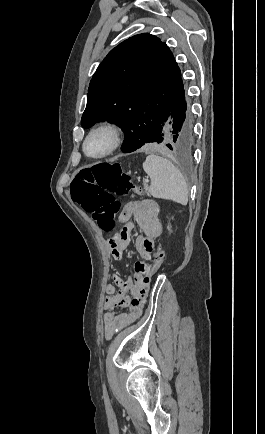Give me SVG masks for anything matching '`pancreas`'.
Returning <instances> with one entry per match:
<instances>
[{
	"label": "pancreas",
	"mask_w": 265,
	"mask_h": 434,
	"mask_svg": "<svg viewBox=\"0 0 265 434\" xmlns=\"http://www.w3.org/2000/svg\"><path fill=\"white\" fill-rule=\"evenodd\" d=\"M143 188H144V190H145L147 196H150V194H149V186H148V184H145V182H144V184H143Z\"/></svg>",
	"instance_id": "pancreas-1"
}]
</instances>
